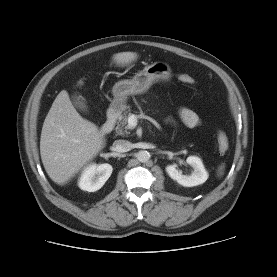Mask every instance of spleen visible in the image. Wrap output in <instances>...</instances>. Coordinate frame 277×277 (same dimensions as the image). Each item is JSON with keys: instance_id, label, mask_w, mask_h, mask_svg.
Returning <instances> with one entry per match:
<instances>
[{"instance_id": "1", "label": "spleen", "mask_w": 277, "mask_h": 277, "mask_svg": "<svg viewBox=\"0 0 277 277\" xmlns=\"http://www.w3.org/2000/svg\"><path fill=\"white\" fill-rule=\"evenodd\" d=\"M224 169H225V165H224V164H222V165L219 166V168H218V175H219V176H222V175H223Z\"/></svg>"}]
</instances>
